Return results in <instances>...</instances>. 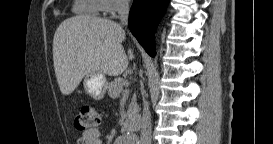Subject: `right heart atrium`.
Wrapping results in <instances>:
<instances>
[{
	"label": "right heart atrium",
	"mask_w": 273,
	"mask_h": 144,
	"mask_svg": "<svg viewBox=\"0 0 273 144\" xmlns=\"http://www.w3.org/2000/svg\"><path fill=\"white\" fill-rule=\"evenodd\" d=\"M101 11L104 14L114 16L119 10L126 6L125 0H100Z\"/></svg>",
	"instance_id": "d8ad5b80"
}]
</instances>
